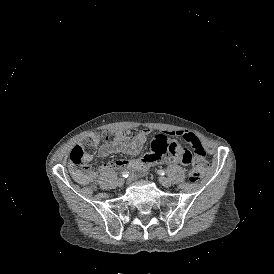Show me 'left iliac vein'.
I'll return each instance as SVG.
<instances>
[{"label":"left iliac vein","instance_id":"left-iliac-vein-1","mask_svg":"<svg viewBox=\"0 0 274 274\" xmlns=\"http://www.w3.org/2000/svg\"><path fill=\"white\" fill-rule=\"evenodd\" d=\"M159 182L164 186V187H169L171 185V182L169 179L166 177H158Z\"/></svg>","mask_w":274,"mask_h":274}]
</instances>
